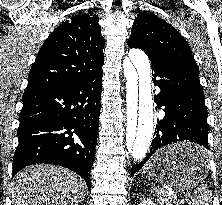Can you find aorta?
<instances>
[{
	"label": "aorta",
	"instance_id": "762f6f07",
	"mask_svg": "<svg viewBox=\"0 0 222 205\" xmlns=\"http://www.w3.org/2000/svg\"><path fill=\"white\" fill-rule=\"evenodd\" d=\"M127 128L125 153L135 162L145 158L151 145L153 122V97L151 89V68L147 55L132 49L125 58Z\"/></svg>",
	"mask_w": 222,
	"mask_h": 205
}]
</instances>
